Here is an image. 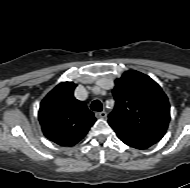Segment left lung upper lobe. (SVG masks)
I'll list each match as a JSON object with an SVG mask.
<instances>
[{"instance_id":"5c2ea615","label":"left lung upper lobe","mask_w":190,"mask_h":188,"mask_svg":"<svg viewBox=\"0 0 190 188\" xmlns=\"http://www.w3.org/2000/svg\"><path fill=\"white\" fill-rule=\"evenodd\" d=\"M113 95L116 104L109 114L110 125L165 135L170 120L168 98L149 76L135 70L126 71L115 80Z\"/></svg>"}]
</instances>
